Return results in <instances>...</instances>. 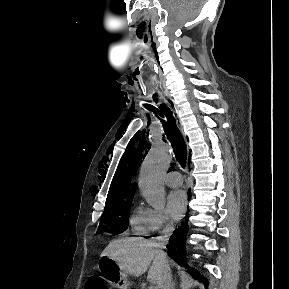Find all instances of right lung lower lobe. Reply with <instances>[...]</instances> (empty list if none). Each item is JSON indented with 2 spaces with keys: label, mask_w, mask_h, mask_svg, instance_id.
<instances>
[{
  "label": "right lung lower lobe",
  "mask_w": 289,
  "mask_h": 289,
  "mask_svg": "<svg viewBox=\"0 0 289 289\" xmlns=\"http://www.w3.org/2000/svg\"><path fill=\"white\" fill-rule=\"evenodd\" d=\"M188 216H186V221L179 227L178 231H175L169 240V256L172 257L179 265L187 266L185 261V238L188 231V223H187ZM195 274V272H193ZM200 279H203L200 277ZM207 284V282H205Z\"/></svg>",
  "instance_id": "right-lung-lower-lobe-1"
}]
</instances>
